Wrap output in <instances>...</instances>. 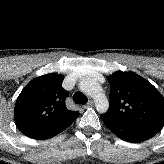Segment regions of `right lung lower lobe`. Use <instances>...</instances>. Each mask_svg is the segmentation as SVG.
I'll list each match as a JSON object with an SVG mask.
<instances>
[{"mask_svg":"<svg viewBox=\"0 0 164 164\" xmlns=\"http://www.w3.org/2000/svg\"><path fill=\"white\" fill-rule=\"evenodd\" d=\"M77 117L78 116L72 117L53 127L37 132L29 137L36 140H45V139L52 138L56 136L57 134H59L60 132H62L63 130H65L67 127H69L76 120Z\"/></svg>","mask_w":164,"mask_h":164,"instance_id":"1","label":"right lung lower lobe"}]
</instances>
